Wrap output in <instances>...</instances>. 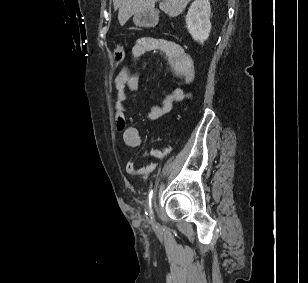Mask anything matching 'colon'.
<instances>
[{
	"mask_svg": "<svg viewBox=\"0 0 308 283\" xmlns=\"http://www.w3.org/2000/svg\"><path fill=\"white\" fill-rule=\"evenodd\" d=\"M113 54H114V59L117 61V62H121L124 57H125V49H124V46L122 44H117L114 48V51H113Z\"/></svg>",
	"mask_w": 308,
	"mask_h": 283,
	"instance_id": "1",
	"label": "colon"
}]
</instances>
